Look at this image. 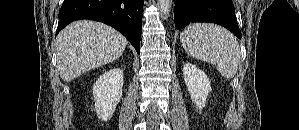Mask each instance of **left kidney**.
Returning a JSON list of instances; mask_svg holds the SVG:
<instances>
[{
	"label": "left kidney",
	"instance_id": "left-kidney-1",
	"mask_svg": "<svg viewBox=\"0 0 299 130\" xmlns=\"http://www.w3.org/2000/svg\"><path fill=\"white\" fill-rule=\"evenodd\" d=\"M183 76L192 101L198 109H202L211 91L209 79L202 70L191 63L184 65Z\"/></svg>",
	"mask_w": 299,
	"mask_h": 130
}]
</instances>
